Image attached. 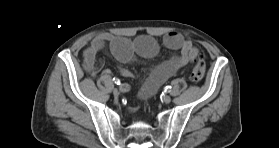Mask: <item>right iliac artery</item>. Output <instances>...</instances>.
Masks as SVG:
<instances>
[{
	"label": "right iliac artery",
	"mask_w": 279,
	"mask_h": 148,
	"mask_svg": "<svg viewBox=\"0 0 279 148\" xmlns=\"http://www.w3.org/2000/svg\"><path fill=\"white\" fill-rule=\"evenodd\" d=\"M113 82L117 85H120V80L118 78H113ZM123 89L126 90V88Z\"/></svg>",
	"instance_id": "right-iliac-artery-1"
}]
</instances>
